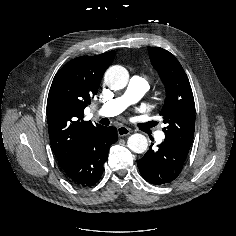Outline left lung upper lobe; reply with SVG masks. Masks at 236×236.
<instances>
[{
    "instance_id": "obj_1",
    "label": "left lung upper lobe",
    "mask_w": 236,
    "mask_h": 236,
    "mask_svg": "<svg viewBox=\"0 0 236 236\" xmlns=\"http://www.w3.org/2000/svg\"><path fill=\"white\" fill-rule=\"evenodd\" d=\"M150 60L165 84L166 99L160 112L166 127L164 142L188 154L194 138L195 104L188 77L179 61L169 51L149 49Z\"/></svg>"
}]
</instances>
